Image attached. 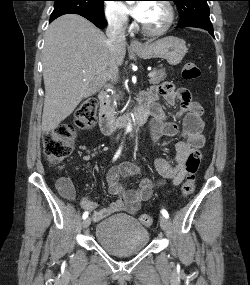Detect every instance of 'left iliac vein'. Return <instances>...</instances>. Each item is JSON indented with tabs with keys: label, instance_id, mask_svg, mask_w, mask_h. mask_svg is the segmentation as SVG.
Returning <instances> with one entry per match:
<instances>
[{
	"label": "left iliac vein",
	"instance_id": "obj_1",
	"mask_svg": "<svg viewBox=\"0 0 250 285\" xmlns=\"http://www.w3.org/2000/svg\"><path fill=\"white\" fill-rule=\"evenodd\" d=\"M160 226L164 231H167L169 228V222L166 217L160 216Z\"/></svg>",
	"mask_w": 250,
	"mask_h": 285
}]
</instances>
